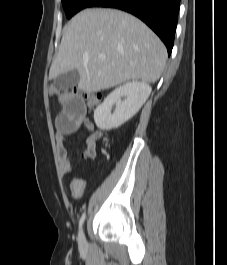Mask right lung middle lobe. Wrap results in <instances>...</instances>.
<instances>
[{"mask_svg": "<svg viewBox=\"0 0 227 265\" xmlns=\"http://www.w3.org/2000/svg\"><path fill=\"white\" fill-rule=\"evenodd\" d=\"M93 0H62L67 18H71L78 11L88 7Z\"/></svg>", "mask_w": 227, "mask_h": 265, "instance_id": "1", "label": "right lung middle lobe"}]
</instances>
